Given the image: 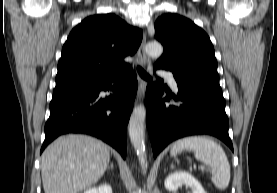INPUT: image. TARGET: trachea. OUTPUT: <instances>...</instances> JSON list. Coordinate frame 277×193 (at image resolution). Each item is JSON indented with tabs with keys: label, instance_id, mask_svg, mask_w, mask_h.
<instances>
[{
	"label": "trachea",
	"instance_id": "obj_1",
	"mask_svg": "<svg viewBox=\"0 0 277 193\" xmlns=\"http://www.w3.org/2000/svg\"><path fill=\"white\" fill-rule=\"evenodd\" d=\"M139 75L145 80H151V77L141 68L138 66L137 68Z\"/></svg>",
	"mask_w": 277,
	"mask_h": 193
}]
</instances>
